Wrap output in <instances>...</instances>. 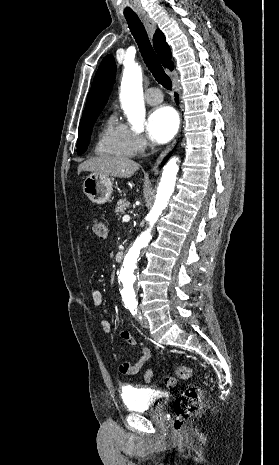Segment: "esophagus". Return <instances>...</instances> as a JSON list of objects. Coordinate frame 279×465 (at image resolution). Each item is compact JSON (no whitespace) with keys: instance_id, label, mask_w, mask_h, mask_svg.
Listing matches in <instances>:
<instances>
[{"instance_id":"1","label":"esophagus","mask_w":279,"mask_h":465,"mask_svg":"<svg viewBox=\"0 0 279 465\" xmlns=\"http://www.w3.org/2000/svg\"><path fill=\"white\" fill-rule=\"evenodd\" d=\"M141 21L143 22L148 34L150 35V37L153 36L155 30H156V24L155 22L146 14H140L139 15ZM175 145V141L172 142L170 145H168L163 151L162 153L159 155V157L157 158L154 166L152 167V169H155L159 164L160 162L162 161L163 157L173 148V146Z\"/></svg>"}]
</instances>
